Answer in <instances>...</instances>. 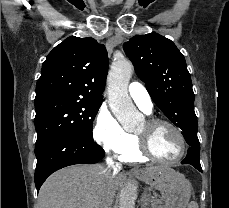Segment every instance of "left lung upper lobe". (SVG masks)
Instances as JSON below:
<instances>
[{"mask_svg": "<svg viewBox=\"0 0 229 208\" xmlns=\"http://www.w3.org/2000/svg\"><path fill=\"white\" fill-rule=\"evenodd\" d=\"M155 104L182 133L197 131L194 92L184 56L158 33L136 35L123 45Z\"/></svg>", "mask_w": 229, "mask_h": 208, "instance_id": "obj_1", "label": "left lung upper lobe"}]
</instances>
